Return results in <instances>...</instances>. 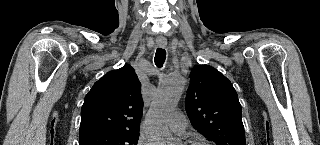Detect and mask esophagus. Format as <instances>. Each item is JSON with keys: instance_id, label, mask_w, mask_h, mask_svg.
<instances>
[{"instance_id": "34e87169", "label": "esophagus", "mask_w": 320, "mask_h": 145, "mask_svg": "<svg viewBox=\"0 0 320 145\" xmlns=\"http://www.w3.org/2000/svg\"><path fill=\"white\" fill-rule=\"evenodd\" d=\"M156 43L159 47H165L167 45V40L165 38H157Z\"/></svg>"}]
</instances>
